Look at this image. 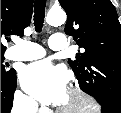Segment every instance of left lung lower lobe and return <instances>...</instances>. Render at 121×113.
<instances>
[{
    "label": "left lung lower lobe",
    "mask_w": 121,
    "mask_h": 113,
    "mask_svg": "<svg viewBox=\"0 0 121 113\" xmlns=\"http://www.w3.org/2000/svg\"><path fill=\"white\" fill-rule=\"evenodd\" d=\"M103 113H121V108L112 105H103Z\"/></svg>",
    "instance_id": "left-lung-lower-lobe-1"
}]
</instances>
